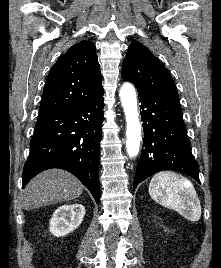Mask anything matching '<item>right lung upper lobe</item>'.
Segmentation results:
<instances>
[{
    "label": "right lung upper lobe",
    "mask_w": 221,
    "mask_h": 268,
    "mask_svg": "<svg viewBox=\"0 0 221 268\" xmlns=\"http://www.w3.org/2000/svg\"><path fill=\"white\" fill-rule=\"evenodd\" d=\"M102 94L95 45L91 41H81L62 55L49 72L39 113L66 109Z\"/></svg>",
    "instance_id": "obj_1"
}]
</instances>
